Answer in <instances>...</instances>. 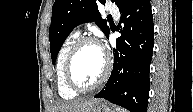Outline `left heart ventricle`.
<instances>
[{
    "label": "left heart ventricle",
    "mask_w": 193,
    "mask_h": 112,
    "mask_svg": "<svg viewBox=\"0 0 193 112\" xmlns=\"http://www.w3.org/2000/svg\"><path fill=\"white\" fill-rule=\"evenodd\" d=\"M104 62L103 51L98 45H84L73 61L72 73L75 81L81 86L94 84L104 69Z\"/></svg>",
    "instance_id": "obj_1"
}]
</instances>
